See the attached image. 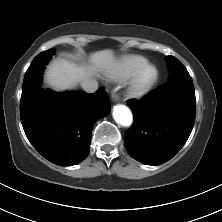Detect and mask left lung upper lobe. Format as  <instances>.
Listing matches in <instances>:
<instances>
[{
  "label": "left lung upper lobe",
  "instance_id": "1",
  "mask_svg": "<svg viewBox=\"0 0 222 222\" xmlns=\"http://www.w3.org/2000/svg\"><path fill=\"white\" fill-rule=\"evenodd\" d=\"M166 63L170 70L169 80L190 76L186 68L175 57H166Z\"/></svg>",
  "mask_w": 222,
  "mask_h": 222
}]
</instances>
